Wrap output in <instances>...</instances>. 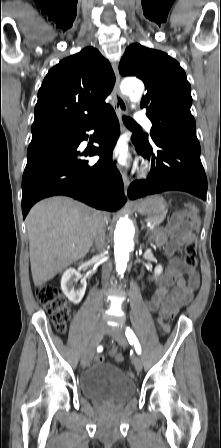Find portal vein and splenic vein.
<instances>
[{"mask_svg": "<svg viewBox=\"0 0 221 448\" xmlns=\"http://www.w3.org/2000/svg\"><path fill=\"white\" fill-rule=\"evenodd\" d=\"M147 226H148L150 229H153V228H154V225H153L152 223H150V222L147 223Z\"/></svg>", "mask_w": 221, "mask_h": 448, "instance_id": "portal-vein-and-splenic-vein-1", "label": "portal vein and splenic vein"}]
</instances>
